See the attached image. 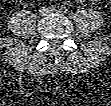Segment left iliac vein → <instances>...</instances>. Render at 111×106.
<instances>
[{
  "instance_id": "1",
  "label": "left iliac vein",
  "mask_w": 111,
  "mask_h": 106,
  "mask_svg": "<svg viewBox=\"0 0 111 106\" xmlns=\"http://www.w3.org/2000/svg\"><path fill=\"white\" fill-rule=\"evenodd\" d=\"M50 12L60 13L61 11H59V10H54V11H50Z\"/></svg>"
}]
</instances>
